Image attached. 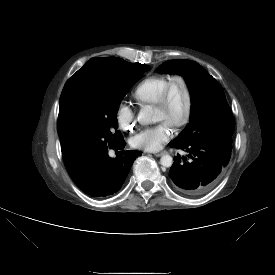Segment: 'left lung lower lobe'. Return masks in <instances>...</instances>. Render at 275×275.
I'll return each instance as SVG.
<instances>
[{
  "instance_id": "obj_1",
  "label": "left lung lower lobe",
  "mask_w": 275,
  "mask_h": 275,
  "mask_svg": "<svg viewBox=\"0 0 275 275\" xmlns=\"http://www.w3.org/2000/svg\"><path fill=\"white\" fill-rule=\"evenodd\" d=\"M169 146L187 153L174 157L169 174L175 189L192 196L203 194L216 184L229 162L232 150L230 145L213 141L189 144L170 142Z\"/></svg>"
}]
</instances>
